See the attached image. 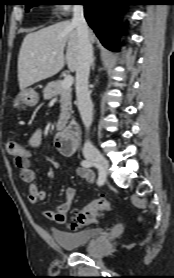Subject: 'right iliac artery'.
Instances as JSON below:
<instances>
[{
  "label": "right iliac artery",
  "instance_id": "right-iliac-artery-1",
  "mask_svg": "<svg viewBox=\"0 0 174 278\" xmlns=\"http://www.w3.org/2000/svg\"><path fill=\"white\" fill-rule=\"evenodd\" d=\"M81 165L83 167H86V168H89V167H96L98 170H99V176H98V181L97 183L99 185H102L105 181V173L104 171L93 161H90V160H83L81 162Z\"/></svg>",
  "mask_w": 174,
  "mask_h": 278
}]
</instances>
